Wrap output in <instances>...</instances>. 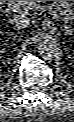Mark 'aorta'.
<instances>
[{"label": "aorta", "instance_id": "762f6f07", "mask_svg": "<svg viewBox=\"0 0 74 122\" xmlns=\"http://www.w3.org/2000/svg\"><path fill=\"white\" fill-rule=\"evenodd\" d=\"M38 52L43 59L50 60L60 54V48L54 38L43 36L38 42Z\"/></svg>", "mask_w": 74, "mask_h": 122}]
</instances>
